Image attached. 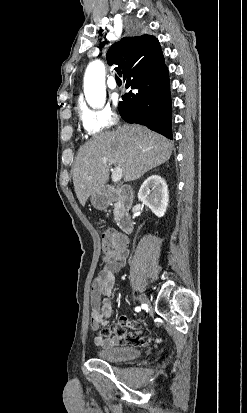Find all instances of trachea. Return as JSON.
Returning a JSON list of instances; mask_svg holds the SVG:
<instances>
[{"mask_svg": "<svg viewBox=\"0 0 247 413\" xmlns=\"http://www.w3.org/2000/svg\"><path fill=\"white\" fill-rule=\"evenodd\" d=\"M115 78H116V80H120V79H119V77H118L117 75L115 76Z\"/></svg>", "mask_w": 247, "mask_h": 413, "instance_id": "3493384b", "label": "trachea"}]
</instances>
